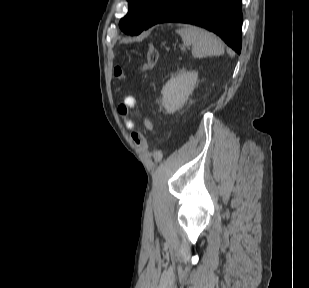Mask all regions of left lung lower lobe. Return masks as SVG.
Returning <instances> with one entry per match:
<instances>
[{"label":"left lung lower lobe","instance_id":"0a47b994","mask_svg":"<svg viewBox=\"0 0 309 288\" xmlns=\"http://www.w3.org/2000/svg\"><path fill=\"white\" fill-rule=\"evenodd\" d=\"M242 20L241 0H164L134 35L159 23H188L216 33L240 53Z\"/></svg>","mask_w":309,"mask_h":288}]
</instances>
